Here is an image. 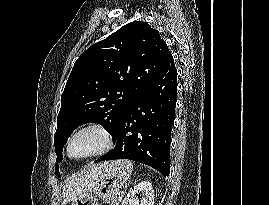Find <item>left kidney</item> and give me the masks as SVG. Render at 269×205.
I'll use <instances>...</instances> for the list:
<instances>
[{
  "label": "left kidney",
  "instance_id": "obj_1",
  "mask_svg": "<svg viewBox=\"0 0 269 205\" xmlns=\"http://www.w3.org/2000/svg\"><path fill=\"white\" fill-rule=\"evenodd\" d=\"M139 192L143 195L141 200L137 197ZM122 205H154V191L151 183L143 181L134 186L124 198Z\"/></svg>",
  "mask_w": 269,
  "mask_h": 205
}]
</instances>
